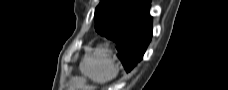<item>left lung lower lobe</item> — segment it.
Listing matches in <instances>:
<instances>
[{"label":"left lung lower lobe","instance_id":"left-lung-lower-lobe-1","mask_svg":"<svg viewBox=\"0 0 228 90\" xmlns=\"http://www.w3.org/2000/svg\"><path fill=\"white\" fill-rule=\"evenodd\" d=\"M150 2L151 0H133L135 9L122 12L118 22L100 34L116 44L117 56L127 72L142 60L152 38Z\"/></svg>","mask_w":228,"mask_h":90}]
</instances>
